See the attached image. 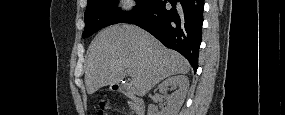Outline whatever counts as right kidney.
<instances>
[{
  "instance_id": "obj_1",
  "label": "right kidney",
  "mask_w": 285,
  "mask_h": 115,
  "mask_svg": "<svg viewBox=\"0 0 285 115\" xmlns=\"http://www.w3.org/2000/svg\"><path fill=\"white\" fill-rule=\"evenodd\" d=\"M169 87H173L178 90L175 94L167 96V105L161 111H158L157 107L153 104L148 107V115H177L186 97L189 80L184 75L172 76L164 80L159 86V92L166 94Z\"/></svg>"
}]
</instances>
